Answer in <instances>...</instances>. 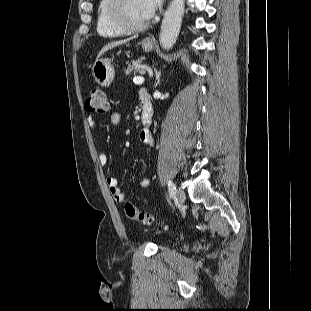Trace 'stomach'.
Returning <instances> with one entry per match:
<instances>
[{
	"mask_svg": "<svg viewBox=\"0 0 311 311\" xmlns=\"http://www.w3.org/2000/svg\"><path fill=\"white\" fill-rule=\"evenodd\" d=\"M144 51L149 52L153 49L154 44L146 38L141 42ZM92 73L95 81L104 87L109 86L114 80L115 70L108 58H99L92 67Z\"/></svg>",
	"mask_w": 311,
	"mask_h": 311,
	"instance_id": "0dacf381",
	"label": "stomach"
}]
</instances>
